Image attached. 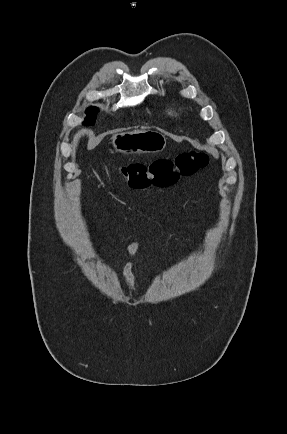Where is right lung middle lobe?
Instances as JSON below:
<instances>
[{"instance_id":"right-lung-middle-lobe-1","label":"right lung middle lobe","mask_w":287,"mask_h":434,"mask_svg":"<svg viewBox=\"0 0 287 434\" xmlns=\"http://www.w3.org/2000/svg\"><path fill=\"white\" fill-rule=\"evenodd\" d=\"M97 111H98V109L96 107H92V108H89L87 110L86 113H87L88 117L86 118L85 124L89 125V124L94 123V117H95Z\"/></svg>"}]
</instances>
